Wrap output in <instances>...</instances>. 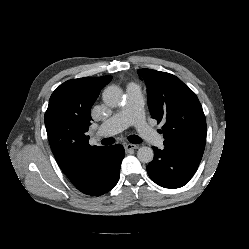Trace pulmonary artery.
I'll list each match as a JSON object with an SVG mask.
<instances>
[{"mask_svg": "<svg viewBox=\"0 0 249 249\" xmlns=\"http://www.w3.org/2000/svg\"><path fill=\"white\" fill-rule=\"evenodd\" d=\"M143 104L141 87L134 84L129 85L126 88V100L123 107L100 125L97 136H111L133 125L140 136L149 144L162 146V136L155 132L144 119Z\"/></svg>", "mask_w": 249, "mask_h": 249, "instance_id": "pulmonary-artery-1", "label": "pulmonary artery"}]
</instances>
